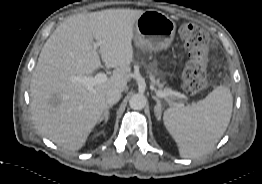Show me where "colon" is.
Listing matches in <instances>:
<instances>
[{
	"instance_id": "obj_1",
	"label": "colon",
	"mask_w": 262,
	"mask_h": 184,
	"mask_svg": "<svg viewBox=\"0 0 262 184\" xmlns=\"http://www.w3.org/2000/svg\"><path fill=\"white\" fill-rule=\"evenodd\" d=\"M179 35L189 57L182 71L183 88L189 94H197L207 85L209 36L194 23L182 24Z\"/></svg>"
}]
</instances>
